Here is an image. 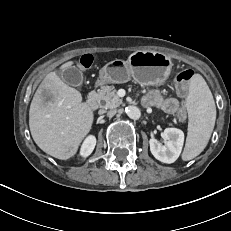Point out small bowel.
I'll return each instance as SVG.
<instances>
[{"instance_id": "1", "label": "small bowel", "mask_w": 231, "mask_h": 231, "mask_svg": "<svg viewBox=\"0 0 231 231\" xmlns=\"http://www.w3.org/2000/svg\"><path fill=\"white\" fill-rule=\"evenodd\" d=\"M144 103L160 107L166 113H176L179 108V102L175 98H163L158 92L151 91L144 98Z\"/></svg>"}]
</instances>
